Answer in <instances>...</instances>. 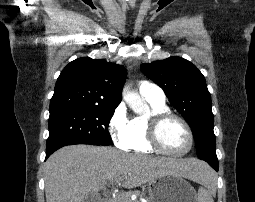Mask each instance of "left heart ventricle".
Here are the masks:
<instances>
[{"mask_svg": "<svg viewBox=\"0 0 255 202\" xmlns=\"http://www.w3.org/2000/svg\"><path fill=\"white\" fill-rule=\"evenodd\" d=\"M159 137L163 147L172 152L184 151L189 144L186 129L179 121L174 119L162 125Z\"/></svg>", "mask_w": 255, "mask_h": 202, "instance_id": "b2bd125f", "label": "left heart ventricle"}]
</instances>
